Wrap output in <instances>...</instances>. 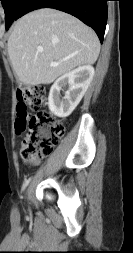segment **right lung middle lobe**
Returning a JSON list of instances; mask_svg holds the SVG:
<instances>
[{
	"mask_svg": "<svg viewBox=\"0 0 133 253\" xmlns=\"http://www.w3.org/2000/svg\"><path fill=\"white\" fill-rule=\"evenodd\" d=\"M5 10V26L6 30L10 27L12 22L16 19L20 7L24 0H0Z\"/></svg>",
	"mask_w": 133,
	"mask_h": 253,
	"instance_id": "dd1d6c3e",
	"label": "right lung middle lobe"
}]
</instances>
